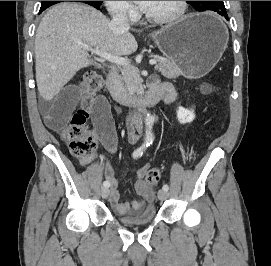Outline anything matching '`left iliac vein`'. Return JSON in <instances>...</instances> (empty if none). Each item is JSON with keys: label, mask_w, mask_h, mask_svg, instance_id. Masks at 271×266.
<instances>
[{"label": "left iliac vein", "mask_w": 271, "mask_h": 266, "mask_svg": "<svg viewBox=\"0 0 271 266\" xmlns=\"http://www.w3.org/2000/svg\"><path fill=\"white\" fill-rule=\"evenodd\" d=\"M168 196H169V194L167 191H165L163 189L158 191L159 200H161V201L166 200L168 198Z\"/></svg>", "instance_id": "obj_1"}]
</instances>
